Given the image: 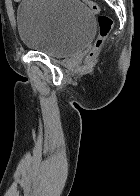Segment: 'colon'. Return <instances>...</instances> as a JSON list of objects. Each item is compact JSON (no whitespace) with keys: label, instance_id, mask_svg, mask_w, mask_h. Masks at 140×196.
<instances>
[{"label":"colon","instance_id":"1","mask_svg":"<svg viewBox=\"0 0 140 196\" xmlns=\"http://www.w3.org/2000/svg\"><path fill=\"white\" fill-rule=\"evenodd\" d=\"M83 4L87 5L95 14H97L98 35L94 41L93 47L87 55V62L95 59L99 53L106 37L109 35L113 28V20L107 14L101 13V8L96 2L90 0H80Z\"/></svg>","mask_w":140,"mask_h":196}]
</instances>
